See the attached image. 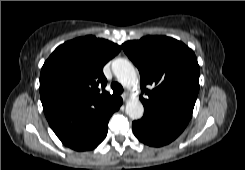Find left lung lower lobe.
Here are the masks:
<instances>
[{"label": "left lung lower lobe", "mask_w": 245, "mask_h": 170, "mask_svg": "<svg viewBox=\"0 0 245 170\" xmlns=\"http://www.w3.org/2000/svg\"><path fill=\"white\" fill-rule=\"evenodd\" d=\"M144 116L132 123L134 135L144 144L160 147L172 142L185 129L189 120L144 107Z\"/></svg>", "instance_id": "0a47b994"}]
</instances>
